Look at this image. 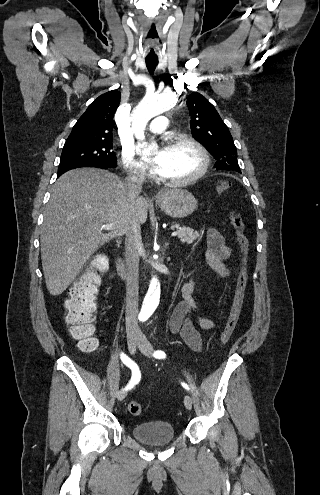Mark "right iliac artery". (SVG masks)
Segmentation results:
<instances>
[{
	"mask_svg": "<svg viewBox=\"0 0 320 495\" xmlns=\"http://www.w3.org/2000/svg\"><path fill=\"white\" fill-rule=\"evenodd\" d=\"M121 360L132 371V378H131L129 384L124 388V390H128V389H131L139 381L140 371H139L137 364L130 357H128L126 354H124V353L121 354Z\"/></svg>",
	"mask_w": 320,
	"mask_h": 495,
	"instance_id": "82829eb1",
	"label": "right iliac artery"
}]
</instances>
